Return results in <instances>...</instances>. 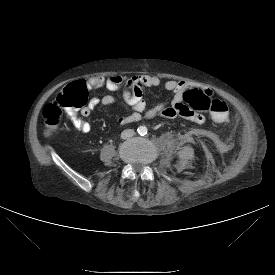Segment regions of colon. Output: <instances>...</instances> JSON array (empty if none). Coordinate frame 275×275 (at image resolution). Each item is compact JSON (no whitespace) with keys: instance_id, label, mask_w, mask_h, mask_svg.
<instances>
[{"instance_id":"obj_1","label":"colon","mask_w":275,"mask_h":275,"mask_svg":"<svg viewBox=\"0 0 275 275\" xmlns=\"http://www.w3.org/2000/svg\"><path fill=\"white\" fill-rule=\"evenodd\" d=\"M183 99L192 113L209 112L218 123H224L229 118L228 103L223 99L214 98L209 92L189 89L184 92ZM87 104L86 87L83 82L76 81L65 86L55 99L44 107L42 117L47 125L58 126L67 117L82 111Z\"/></svg>"}]
</instances>
